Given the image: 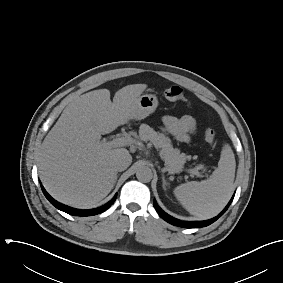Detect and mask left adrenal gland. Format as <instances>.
I'll return each instance as SVG.
<instances>
[{"instance_id": "obj_1", "label": "left adrenal gland", "mask_w": 283, "mask_h": 283, "mask_svg": "<svg viewBox=\"0 0 283 283\" xmlns=\"http://www.w3.org/2000/svg\"><path fill=\"white\" fill-rule=\"evenodd\" d=\"M162 182H163V188L166 190V187L168 186V182H166L164 175H162Z\"/></svg>"}]
</instances>
